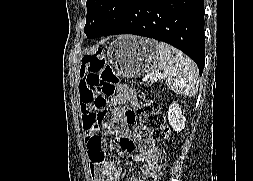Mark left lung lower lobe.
Returning a JSON list of instances; mask_svg holds the SVG:
<instances>
[{
	"mask_svg": "<svg viewBox=\"0 0 253 181\" xmlns=\"http://www.w3.org/2000/svg\"><path fill=\"white\" fill-rule=\"evenodd\" d=\"M135 34L166 42L191 57L202 74L205 61L204 0H132L102 35Z\"/></svg>",
	"mask_w": 253,
	"mask_h": 181,
	"instance_id": "obj_1",
	"label": "left lung lower lobe"
}]
</instances>
